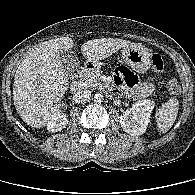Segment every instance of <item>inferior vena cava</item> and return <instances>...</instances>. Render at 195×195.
I'll return each mask as SVG.
<instances>
[{
    "label": "inferior vena cava",
    "instance_id": "obj_1",
    "mask_svg": "<svg viewBox=\"0 0 195 195\" xmlns=\"http://www.w3.org/2000/svg\"><path fill=\"white\" fill-rule=\"evenodd\" d=\"M90 98H91V92L85 88L78 90L73 96L74 102L79 104L86 103L87 101L90 100Z\"/></svg>",
    "mask_w": 195,
    "mask_h": 195
}]
</instances>
